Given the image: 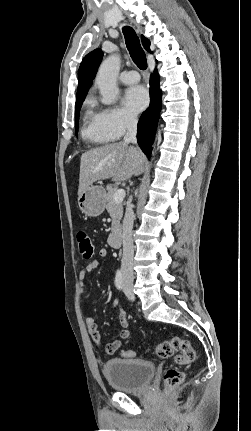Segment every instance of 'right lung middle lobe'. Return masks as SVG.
<instances>
[{
    "label": "right lung middle lobe",
    "instance_id": "dd1d6c3e",
    "mask_svg": "<svg viewBox=\"0 0 251 431\" xmlns=\"http://www.w3.org/2000/svg\"><path fill=\"white\" fill-rule=\"evenodd\" d=\"M84 99L85 98L80 99V100H76V109H75V130H76V134L78 132L79 112H80V108H81V105H82Z\"/></svg>",
    "mask_w": 251,
    "mask_h": 431
}]
</instances>
